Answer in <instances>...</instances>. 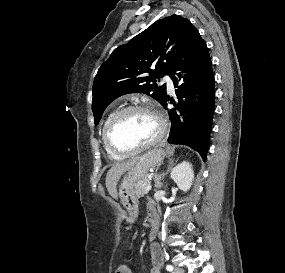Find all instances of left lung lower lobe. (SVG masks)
<instances>
[{"label":"left lung lower lobe","mask_w":285,"mask_h":273,"mask_svg":"<svg viewBox=\"0 0 285 273\" xmlns=\"http://www.w3.org/2000/svg\"><path fill=\"white\" fill-rule=\"evenodd\" d=\"M184 55L186 61L180 60L171 73L177 87V102H170L175 107L168 110L169 97L161 103L171 120L168 142L192 147L205 161L214 113L215 80L208 48L197 29L192 32Z\"/></svg>","instance_id":"obj_1"}]
</instances>
